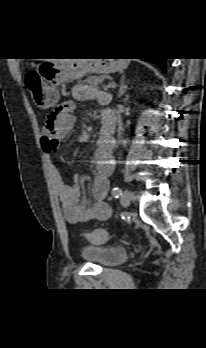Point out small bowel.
Segmentation results:
<instances>
[{"label":"small bowel","mask_w":206,"mask_h":348,"mask_svg":"<svg viewBox=\"0 0 206 348\" xmlns=\"http://www.w3.org/2000/svg\"><path fill=\"white\" fill-rule=\"evenodd\" d=\"M77 100H97L102 105L109 104L111 95L95 87L79 84L73 88ZM75 103H61L48 116L45 122L44 135L41 137V148L46 156V164L50 172L54 188L62 204L64 218L70 224L90 221H103L111 216V207L105 201L109 189V177L114 170V160L111 150L99 147L92 161L93 184L91 202H83L78 177L71 184L64 182L50 155L59 147L60 140L67 135L75 125L73 112Z\"/></svg>","instance_id":"obj_1"}]
</instances>
